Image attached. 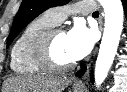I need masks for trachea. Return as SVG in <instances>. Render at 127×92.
I'll return each instance as SVG.
<instances>
[{"label": "trachea", "mask_w": 127, "mask_h": 92, "mask_svg": "<svg viewBox=\"0 0 127 92\" xmlns=\"http://www.w3.org/2000/svg\"><path fill=\"white\" fill-rule=\"evenodd\" d=\"M92 15H99V12L98 11H95V12H93Z\"/></svg>", "instance_id": "3493384b"}]
</instances>
